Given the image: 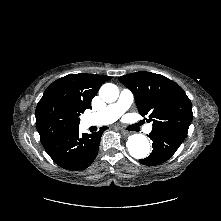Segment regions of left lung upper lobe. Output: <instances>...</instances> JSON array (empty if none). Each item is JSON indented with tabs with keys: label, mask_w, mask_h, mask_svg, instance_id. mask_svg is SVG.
Masks as SVG:
<instances>
[{
	"label": "left lung upper lobe",
	"mask_w": 221,
	"mask_h": 221,
	"mask_svg": "<svg viewBox=\"0 0 221 221\" xmlns=\"http://www.w3.org/2000/svg\"><path fill=\"white\" fill-rule=\"evenodd\" d=\"M119 81L132 91L140 115L149 117L153 130L186 138L192 104L178 84L163 75L141 71L121 76Z\"/></svg>",
	"instance_id": "5c2ea615"
}]
</instances>
